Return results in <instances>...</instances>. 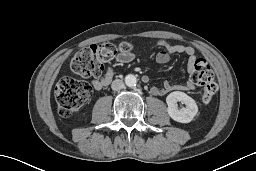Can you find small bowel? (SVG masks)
Instances as JSON below:
<instances>
[{"instance_id":"small-bowel-1","label":"small bowel","mask_w":256,"mask_h":171,"mask_svg":"<svg viewBox=\"0 0 256 171\" xmlns=\"http://www.w3.org/2000/svg\"><path fill=\"white\" fill-rule=\"evenodd\" d=\"M158 45L161 49L158 51L156 55V61L159 64H165L170 60L171 55L173 54H185L188 56V69L192 71L193 66L197 60L195 49L191 46L183 45V44H172L167 42L166 40H159ZM134 59V54L126 53L120 54L116 57V62L119 64H127L130 63ZM114 76L113 68L109 67L106 69V72L103 77L95 78L92 81V87L99 91L106 87ZM194 86L192 83L188 82L185 85L173 84L170 82H165L161 87H152L151 92L154 95H164L168 92L181 90V91H192Z\"/></svg>"}]
</instances>
